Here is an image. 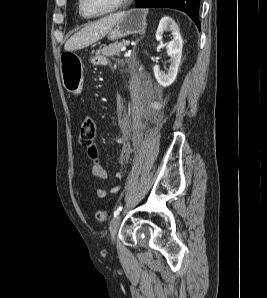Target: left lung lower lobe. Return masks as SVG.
<instances>
[{
	"label": "left lung lower lobe",
	"mask_w": 267,
	"mask_h": 298,
	"mask_svg": "<svg viewBox=\"0 0 267 298\" xmlns=\"http://www.w3.org/2000/svg\"><path fill=\"white\" fill-rule=\"evenodd\" d=\"M200 0H136V7H165L184 11L200 28L199 22Z\"/></svg>",
	"instance_id": "0a47b994"
}]
</instances>
